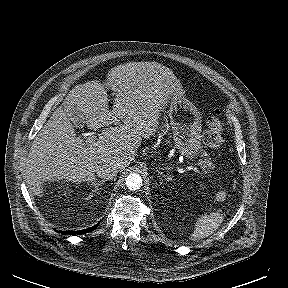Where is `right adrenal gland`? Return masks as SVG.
<instances>
[{
  "label": "right adrenal gland",
  "mask_w": 288,
  "mask_h": 288,
  "mask_svg": "<svg viewBox=\"0 0 288 288\" xmlns=\"http://www.w3.org/2000/svg\"><path fill=\"white\" fill-rule=\"evenodd\" d=\"M105 182H106L105 180H94L92 182V186L94 187L93 192L99 194L100 192L98 191L101 189L102 184H104Z\"/></svg>",
  "instance_id": "1"
}]
</instances>
